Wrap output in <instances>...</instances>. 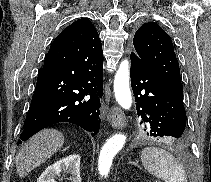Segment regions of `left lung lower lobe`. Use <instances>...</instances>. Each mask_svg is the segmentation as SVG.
I'll use <instances>...</instances> for the list:
<instances>
[{
  "label": "left lung lower lobe",
  "instance_id": "0a47b994",
  "mask_svg": "<svg viewBox=\"0 0 211 182\" xmlns=\"http://www.w3.org/2000/svg\"><path fill=\"white\" fill-rule=\"evenodd\" d=\"M130 58L131 86L144 131L150 137L181 140L186 127L183 97L169 89L135 52Z\"/></svg>",
  "mask_w": 211,
  "mask_h": 182
}]
</instances>
